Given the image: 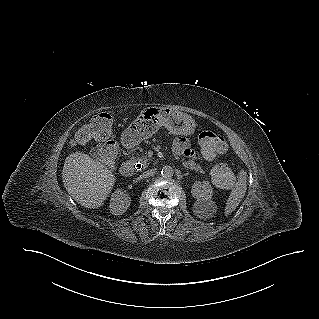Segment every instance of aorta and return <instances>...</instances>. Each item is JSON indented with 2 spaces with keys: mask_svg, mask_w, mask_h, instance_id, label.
<instances>
[{
  "mask_svg": "<svg viewBox=\"0 0 319 319\" xmlns=\"http://www.w3.org/2000/svg\"><path fill=\"white\" fill-rule=\"evenodd\" d=\"M174 174V170L170 166H164L161 170V175L165 179H170Z\"/></svg>",
  "mask_w": 319,
  "mask_h": 319,
  "instance_id": "aorta-1",
  "label": "aorta"
}]
</instances>
